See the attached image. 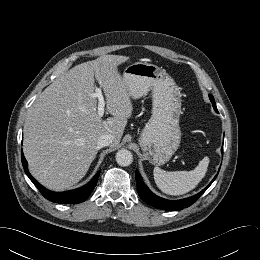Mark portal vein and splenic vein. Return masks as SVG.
I'll return each instance as SVG.
<instances>
[{
	"instance_id": "portal-vein-and-splenic-vein-1",
	"label": "portal vein and splenic vein",
	"mask_w": 260,
	"mask_h": 260,
	"mask_svg": "<svg viewBox=\"0 0 260 260\" xmlns=\"http://www.w3.org/2000/svg\"><path fill=\"white\" fill-rule=\"evenodd\" d=\"M92 96L98 98V115L102 117L104 114V107L106 103L104 101L101 89L97 88L95 92L92 94Z\"/></svg>"
}]
</instances>
